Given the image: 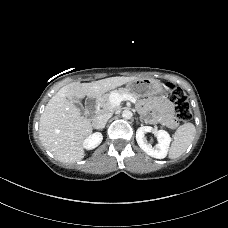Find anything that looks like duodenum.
<instances>
[{"instance_id": "410a0bca", "label": "duodenum", "mask_w": 228, "mask_h": 228, "mask_svg": "<svg viewBox=\"0 0 228 228\" xmlns=\"http://www.w3.org/2000/svg\"><path fill=\"white\" fill-rule=\"evenodd\" d=\"M95 103V100H90L89 101V104H88V109L89 110H92V108H93V104Z\"/></svg>"}]
</instances>
